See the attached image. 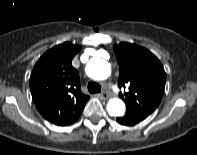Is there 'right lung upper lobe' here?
Here are the masks:
<instances>
[{"label":"right lung upper lobe","instance_id":"cb5924a9","mask_svg":"<svg viewBox=\"0 0 197 155\" xmlns=\"http://www.w3.org/2000/svg\"><path fill=\"white\" fill-rule=\"evenodd\" d=\"M80 49L69 42L51 48L37 61L30 76V90L38 111L55 125L72 124L89 99L81 92L79 74L72 66Z\"/></svg>","mask_w":197,"mask_h":155}]
</instances>
